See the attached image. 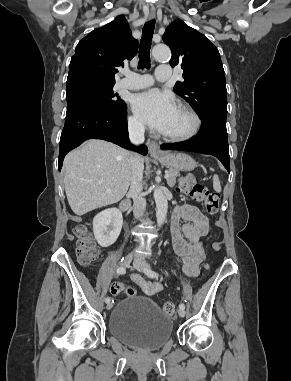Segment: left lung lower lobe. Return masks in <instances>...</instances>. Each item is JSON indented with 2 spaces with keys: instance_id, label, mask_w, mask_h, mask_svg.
I'll return each mask as SVG.
<instances>
[{
  "instance_id": "1",
  "label": "left lung lower lobe",
  "mask_w": 291,
  "mask_h": 381,
  "mask_svg": "<svg viewBox=\"0 0 291 381\" xmlns=\"http://www.w3.org/2000/svg\"><path fill=\"white\" fill-rule=\"evenodd\" d=\"M161 149L210 154L217 157L230 172L226 119L206 118L202 120L201 130L194 138L181 143L163 144Z\"/></svg>"
}]
</instances>
